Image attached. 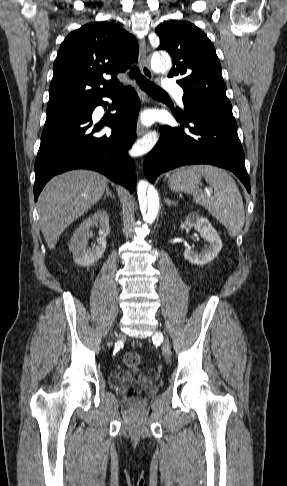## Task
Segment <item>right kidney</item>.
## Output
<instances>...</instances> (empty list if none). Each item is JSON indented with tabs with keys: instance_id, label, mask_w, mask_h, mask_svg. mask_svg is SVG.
<instances>
[{
	"instance_id": "ca27d5eb",
	"label": "right kidney",
	"mask_w": 287,
	"mask_h": 486,
	"mask_svg": "<svg viewBox=\"0 0 287 486\" xmlns=\"http://www.w3.org/2000/svg\"><path fill=\"white\" fill-rule=\"evenodd\" d=\"M100 225L97 245L88 248V239L91 234V227ZM110 233L109 215L105 210H98L87 217L75 230L70 241L69 250L73 259L79 266H90L98 261L106 249V236Z\"/></svg>"
}]
</instances>
